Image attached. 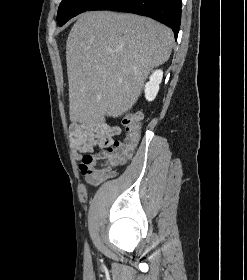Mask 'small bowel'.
<instances>
[{"label": "small bowel", "instance_id": "c3829d8e", "mask_svg": "<svg viewBox=\"0 0 247 280\" xmlns=\"http://www.w3.org/2000/svg\"><path fill=\"white\" fill-rule=\"evenodd\" d=\"M72 142L76 151V157L83 164V159L87 155L93 154L96 148L104 149L113 141L114 137L121 133V128L107 120L93 121L89 124L73 123L70 127ZM88 183L97 185L102 181L100 178L93 177L84 173Z\"/></svg>", "mask_w": 247, "mask_h": 280}]
</instances>
